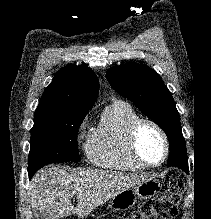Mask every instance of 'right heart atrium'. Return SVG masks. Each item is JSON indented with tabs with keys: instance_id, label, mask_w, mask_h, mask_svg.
I'll use <instances>...</instances> for the list:
<instances>
[{
	"instance_id": "d8ad5b80",
	"label": "right heart atrium",
	"mask_w": 211,
	"mask_h": 219,
	"mask_svg": "<svg viewBox=\"0 0 211 219\" xmlns=\"http://www.w3.org/2000/svg\"><path fill=\"white\" fill-rule=\"evenodd\" d=\"M85 126H86V120H83L78 126L77 129L78 134H81L84 131Z\"/></svg>"
}]
</instances>
